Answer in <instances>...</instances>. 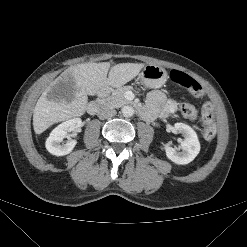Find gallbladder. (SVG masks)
<instances>
[{
	"instance_id": "gallbladder-1",
	"label": "gallbladder",
	"mask_w": 247,
	"mask_h": 247,
	"mask_svg": "<svg viewBox=\"0 0 247 247\" xmlns=\"http://www.w3.org/2000/svg\"><path fill=\"white\" fill-rule=\"evenodd\" d=\"M59 87H61V88H65L66 86H65V84H64V83H60V84H59Z\"/></svg>"
}]
</instances>
